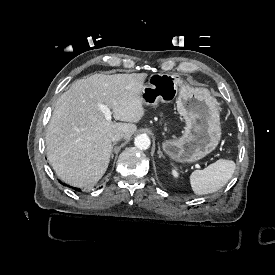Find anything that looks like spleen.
<instances>
[{
  "instance_id": "1",
  "label": "spleen",
  "mask_w": 275,
  "mask_h": 275,
  "mask_svg": "<svg viewBox=\"0 0 275 275\" xmlns=\"http://www.w3.org/2000/svg\"><path fill=\"white\" fill-rule=\"evenodd\" d=\"M236 165L232 160L219 159L203 170H195L190 183L196 195H205L220 190L231 178Z\"/></svg>"
}]
</instances>
